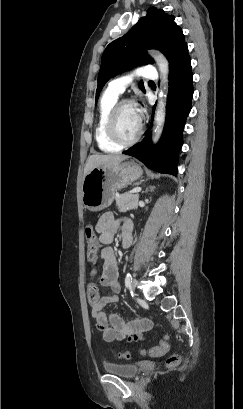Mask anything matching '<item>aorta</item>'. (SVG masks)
Segmentation results:
<instances>
[{
  "label": "aorta",
  "mask_w": 243,
  "mask_h": 409,
  "mask_svg": "<svg viewBox=\"0 0 243 409\" xmlns=\"http://www.w3.org/2000/svg\"><path fill=\"white\" fill-rule=\"evenodd\" d=\"M152 57L156 61L161 74V88L154 118L155 129L153 133V142L156 143L162 134L166 118V92L168 90L169 63L166 57L160 52L156 51L152 53Z\"/></svg>",
  "instance_id": "762f6f07"
}]
</instances>
